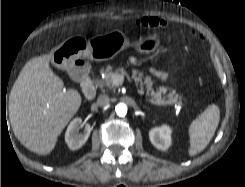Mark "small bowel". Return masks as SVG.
<instances>
[{
    "mask_svg": "<svg viewBox=\"0 0 245 187\" xmlns=\"http://www.w3.org/2000/svg\"><path fill=\"white\" fill-rule=\"evenodd\" d=\"M130 61H131L132 64H136L138 62V60L136 58H131ZM155 75L157 77H159V78H163L164 77V74L162 72H159V71L155 72Z\"/></svg>",
    "mask_w": 245,
    "mask_h": 187,
    "instance_id": "small-bowel-1",
    "label": "small bowel"
}]
</instances>
